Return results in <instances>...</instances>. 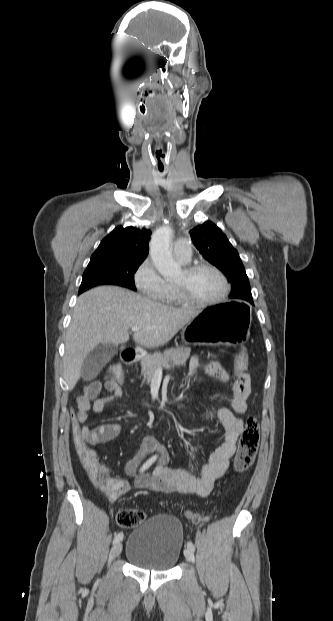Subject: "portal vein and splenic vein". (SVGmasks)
I'll use <instances>...</instances> for the list:
<instances>
[{
	"label": "portal vein and splenic vein",
	"instance_id": "obj_1",
	"mask_svg": "<svg viewBox=\"0 0 333 621\" xmlns=\"http://www.w3.org/2000/svg\"><path fill=\"white\" fill-rule=\"evenodd\" d=\"M140 329H141V328H140V327H138V326H133V327H132V331H134V332H137V331H139ZM166 368H167V369H170L171 367L168 365V366H166ZM156 373H157V374L162 373V370H161V369H158V370L156 371Z\"/></svg>",
	"mask_w": 333,
	"mask_h": 621
}]
</instances>
